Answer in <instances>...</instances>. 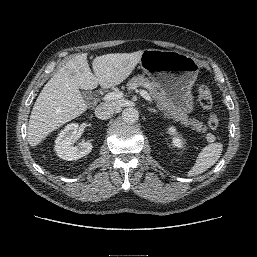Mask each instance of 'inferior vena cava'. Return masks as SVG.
Instances as JSON below:
<instances>
[{
    "label": "inferior vena cava",
    "mask_w": 257,
    "mask_h": 257,
    "mask_svg": "<svg viewBox=\"0 0 257 257\" xmlns=\"http://www.w3.org/2000/svg\"><path fill=\"white\" fill-rule=\"evenodd\" d=\"M118 109L117 104L113 103H101L95 109V115L97 118L105 120L112 117Z\"/></svg>",
    "instance_id": "inferior-vena-cava-1"
}]
</instances>
